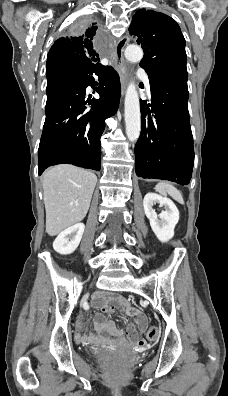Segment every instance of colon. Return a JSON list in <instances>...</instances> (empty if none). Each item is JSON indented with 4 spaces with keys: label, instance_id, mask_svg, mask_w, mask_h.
<instances>
[{
    "label": "colon",
    "instance_id": "1",
    "mask_svg": "<svg viewBox=\"0 0 228 396\" xmlns=\"http://www.w3.org/2000/svg\"><path fill=\"white\" fill-rule=\"evenodd\" d=\"M159 335V330L157 327H149L146 332V336L149 340H155Z\"/></svg>",
    "mask_w": 228,
    "mask_h": 396
}]
</instances>
